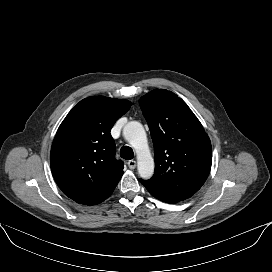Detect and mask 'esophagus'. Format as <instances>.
I'll return each mask as SVG.
<instances>
[{"label":"esophagus","instance_id":"esophagus-1","mask_svg":"<svg viewBox=\"0 0 272 272\" xmlns=\"http://www.w3.org/2000/svg\"><path fill=\"white\" fill-rule=\"evenodd\" d=\"M127 164H128L130 169H135V167H136V161L135 160H129Z\"/></svg>","mask_w":272,"mask_h":272}]
</instances>
